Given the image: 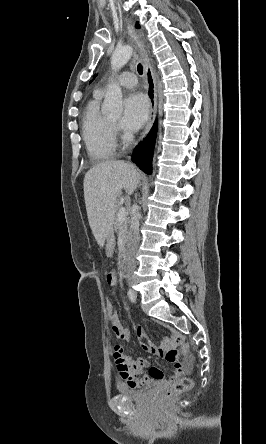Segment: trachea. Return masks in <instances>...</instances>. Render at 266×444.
Segmentation results:
<instances>
[{"label":"trachea","mask_w":266,"mask_h":444,"mask_svg":"<svg viewBox=\"0 0 266 444\" xmlns=\"http://www.w3.org/2000/svg\"><path fill=\"white\" fill-rule=\"evenodd\" d=\"M137 71H138V73H139L140 75L143 74V67H142V65H141L140 63L137 65Z\"/></svg>","instance_id":"obj_1"}]
</instances>
